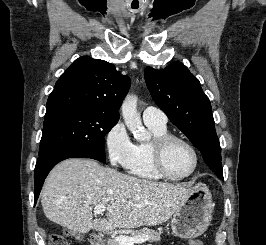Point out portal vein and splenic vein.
I'll list each match as a JSON object with an SVG mask.
<instances>
[{
  "label": "portal vein and splenic vein",
  "instance_id": "1",
  "mask_svg": "<svg viewBox=\"0 0 266 245\" xmlns=\"http://www.w3.org/2000/svg\"><path fill=\"white\" fill-rule=\"evenodd\" d=\"M104 211H106L105 205H97L94 207V215H103ZM150 237L147 235H139V237H123V235H119V237H115L114 241L117 245H135V243H146Z\"/></svg>",
  "mask_w": 266,
  "mask_h": 245
}]
</instances>
